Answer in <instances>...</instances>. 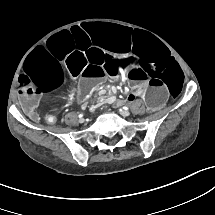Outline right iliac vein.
<instances>
[{"instance_id":"1","label":"right iliac vein","mask_w":215,"mask_h":215,"mask_svg":"<svg viewBox=\"0 0 215 215\" xmlns=\"http://www.w3.org/2000/svg\"><path fill=\"white\" fill-rule=\"evenodd\" d=\"M80 122H84V119H81Z\"/></svg>"}]
</instances>
